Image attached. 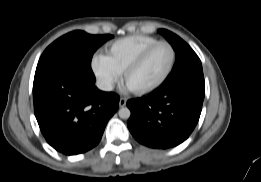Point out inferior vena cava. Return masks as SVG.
Instances as JSON below:
<instances>
[{"mask_svg": "<svg viewBox=\"0 0 261 182\" xmlns=\"http://www.w3.org/2000/svg\"><path fill=\"white\" fill-rule=\"evenodd\" d=\"M96 86L103 91H111L113 89L112 83L107 80H98Z\"/></svg>", "mask_w": 261, "mask_h": 182, "instance_id": "1", "label": "inferior vena cava"}]
</instances>
